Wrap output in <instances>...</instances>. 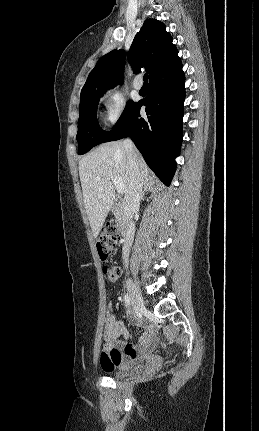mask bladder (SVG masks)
Instances as JSON below:
<instances>
[{"instance_id": "bladder-1", "label": "bladder", "mask_w": 259, "mask_h": 431, "mask_svg": "<svg viewBox=\"0 0 259 431\" xmlns=\"http://www.w3.org/2000/svg\"><path fill=\"white\" fill-rule=\"evenodd\" d=\"M139 371L138 366H129V367H120L113 370L108 371L110 377L115 379L126 378L130 375H133Z\"/></svg>"}]
</instances>
